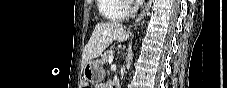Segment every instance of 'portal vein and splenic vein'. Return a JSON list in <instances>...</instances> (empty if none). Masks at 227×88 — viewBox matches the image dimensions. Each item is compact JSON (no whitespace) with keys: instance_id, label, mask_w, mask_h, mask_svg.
<instances>
[{"instance_id":"obj_1","label":"portal vein and splenic vein","mask_w":227,"mask_h":88,"mask_svg":"<svg viewBox=\"0 0 227 88\" xmlns=\"http://www.w3.org/2000/svg\"><path fill=\"white\" fill-rule=\"evenodd\" d=\"M113 59H114V57L113 56H110L109 59H108V62L109 63H112L113 62Z\"/></svg>"}]
</instances>
